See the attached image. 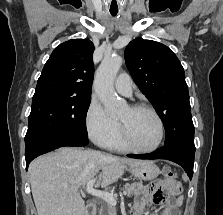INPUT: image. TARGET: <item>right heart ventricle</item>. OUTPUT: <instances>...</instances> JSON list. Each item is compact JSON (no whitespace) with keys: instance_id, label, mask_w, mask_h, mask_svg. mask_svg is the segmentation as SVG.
Instances as JSON below:
<instances>
[{"instance_id":"right-heart-ventricle-1","label":"right heart ventricle","mask_w":223,"mask_h":215,"mask_svg":"<svg viewBox=\"0 0 223 215\" xmlns=\"http://www.w3.org/2000/svg\"><path fill=\"white\" fill-rule=\"evenodd\" d=\"M104 145L106 148H108L109 150H112V151H117V152L126 151V148L123 146V144L119 140L118 134L115 135L110 140H108Z\"/></svg>"}]
</instances>
